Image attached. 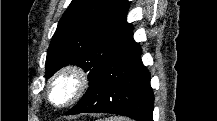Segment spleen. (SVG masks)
<instances>
[{"mask_svg": "<svg viewBox=\"0 0 217 121\" xmlns=\"http://www.w3.org/2000/svg\"><path fill=\"white\" fill-rule=\"evenodd\" d=\"M105 121H125V118L114 117V118H111V119H106Z\"/></svg>", "mask_w": 217, "mask_h": 121, "instance_id": "1", "label": "spleen"}]
</instances>
